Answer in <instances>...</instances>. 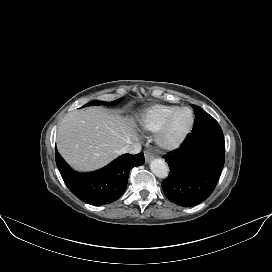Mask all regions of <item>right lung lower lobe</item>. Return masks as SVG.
Returning <instances> with one entry per match:
<instances>
[{"mask_svg": "<svg viewBox=\"0 0 272 272\" xmlns=\"http://www.w3.org/2000/svg\"><path fill=\"white\" fill-rule=\"evenodd\" d=\"M55 159L69 190L90 205L109 204L126 190L129 172L144 163L143 153L124 154L104 168L92 173L73 171L56 150Z\"/></svg>", "mask_w": 272, "mask_h": 272, "instance_id": "1", "label": "right lung lower lobe"}]
</instances>
